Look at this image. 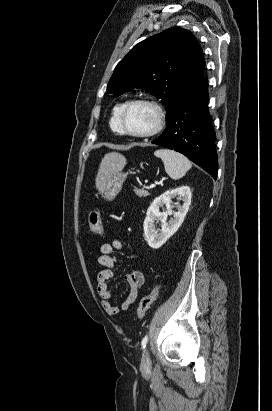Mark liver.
I'll return each instance as SVG.
<instances>
[{"instance_id": "6515ba94", "label": "liver", "mask_w": 272, "mask_h": 411, "mask_svg": "<svg viewBox=\"0 0 272 411\" xmlns=\"http://www.w3.org/2000/svg\"><path fill=\"white\" fill-rule=\"evenodd\" d=\"M126 164V158L117 152H111L102 159L96 177V187L102 191L106 181Z\"/></svg>"}]
</instances>
